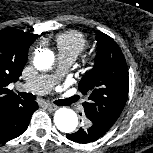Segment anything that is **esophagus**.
I'll return each instance as SVG.
<instances>
[{"label":"esophagus","instance_id":"obj_1","mask_svg":"<svg viewBox=\"0 0 153 153\" xmlns=\"http://www.w3.org/2000/svg\"><path fill=\"white\" fill-rule=\"evenodd\" d=\"M49 111H54L56 110L58 107L52 104H45L44 105Z\"/></svg>","mask_w":153,"mask_h":153}]
</instances>
